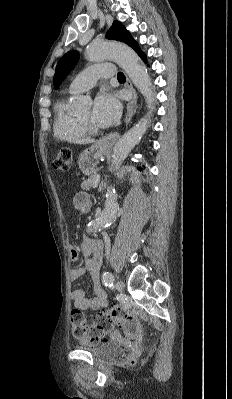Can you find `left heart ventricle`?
<instances>
[{
	"label": "left heart ventricle",
	"mask_w": 232,
	"mask_h": 399,
	"mask_svg": "<svg viewBox=\"0 0 232 399\" xmlns=\"http://www.w3.org/2000/svg\"><path fill=\"white\" fill-rule=\"evenodd\" d=\"M78 117L87 120L92 126L97 129H102L98 124H96L91 118V110L90 108L84 110Z\"/></svg>",
	"instance_id": "obj_1"
}]
</instances>
